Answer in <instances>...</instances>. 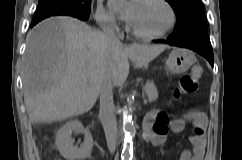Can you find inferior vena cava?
Segmentation results:
<instances>
[{
  "mask_svg": "<svg viewBox=\"0 0 242 160\" xmlns=\"http://www.w3.org/2000/svg\"><path fill=\"white\" fill-rule=\"evenodd\" d=\"M101 27L104 32V35L108 38L109 41H111L114 44L120 43L119 39L116 36L115 29L111 24H104ZM112 67L116 68L117 64L113 63ZM113 68H110L109 72H106V74H104L99 88V118L103 124L107 146L110 153H114L118 140L115 106L113 102V88L111 82L115 79V74H113Z\"/></svg>",
  "mask_w": 242,
  "mask_h": 160,
  "instance_id": "602c4592",
  "label": "inferior vena cava"
}]
</instances>
